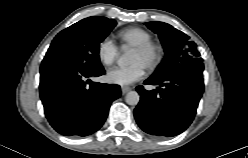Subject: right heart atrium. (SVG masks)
<instances>
[{
	"label": "right heart atrium",
	"instance_id": "d8ad5b80",
	"mask_svg": "<svg viewBox=\"0 0 248 158\" xmlns=\"http://www.w3.org/2000/svg\"><path fill=\"white\" fill-rule=\"evenodd\" d=\"M97 55L104 66H111L118 56V48L110 38L105 37L98 43Z\"/></svg>",
	"mask_w": 248,
	"mask_h": 158
}]
</instances>
